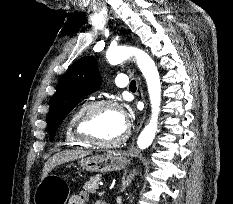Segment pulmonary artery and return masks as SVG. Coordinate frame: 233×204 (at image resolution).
Wrapping results in <instances>:
<instances>
[{"instance_id":"e3ab8cb5","label":"pulmonary artery","mask_w":233,"mask_h":204,"mask_svg":"<svg viewBox=\"0 0 233 204\" xmlns=\"http://www.w3.org/2000/svg\"><path fill=\"white\" fill-rule=\"evenodd\" d=\"M115 84L120 88H124L128 86L129 79L125 74H119L115 79Z\"/></svg>"}]
</instances>
